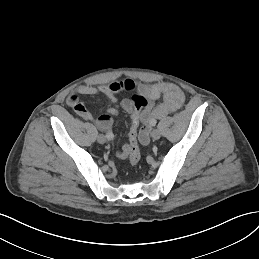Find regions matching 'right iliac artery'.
I'll return each instance as SVG.
<instances>
[{"instance_id":"1","label":"right iliac artery","mask_w":259,"mask_h":259,"mask_svg":"<svg viewBox=\"0 0 259 259\" xmlns=\"http://www.w3.org/2000/svg\"><path fill=\"white\" fill-rule=\"evenodd\" d=\"M106 138L108 139V140H113V138H114V135H113V133H106Z\"/></svg>"}]
</instances>
